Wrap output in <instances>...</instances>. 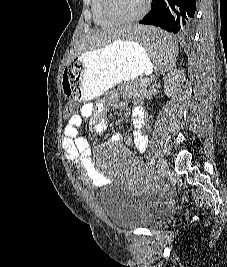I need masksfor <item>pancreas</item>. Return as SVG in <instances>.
<instances>
[{"instance_id": "1", "label": "pancreas", "mask_w": 227, "mask_h": 267, "mask_svg": "<svg viewBox=\"0 0 227 267\" xmlns=\"http://www.w3.org/2000/svg\"><path fill=\"white\" fill-rule=\"evenodd\" d=\"M149 79L147 78H142L136 81H131L128 83H124L122 86L123 87H132L134 90H138L141 93H145L147 91V87L149 85Z\"/></svg>"}]
</instances>
